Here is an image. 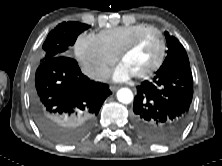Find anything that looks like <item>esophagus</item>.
I'll use <instances>...</instances> for the list:
<instances>
[{
  "label": "esophagus",
  "instance_id": "obj_1",
  "mask_svg": "<svg viewBox=\"0 0 222 166\" xmlns=\"http://www.w3.org/2000/svg\"><path fill=\"white\" fill-rule=\"evenodd\" d=\"M118 89H119L118 86H110V90H111L112 92H115V91H117Z\"/></svg>",
  "mask_w": 222,
  "mask_h": 166
}]
</instances>
